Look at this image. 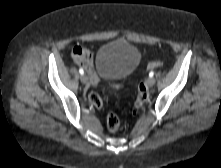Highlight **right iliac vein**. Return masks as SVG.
<instances>
[{
  "label": "right iliac vein",
  "instance_id": "63e3f726",
  "mask_svg": "<svg viewBox=\"0 0 221 168\" xmlns=\"http://www.w3.org/2000/svg\"><path fill=\"white\" fill-rule=\"evenodd\" d=\"M80 80L83 84H87L89 82V78L85 74L81 75Z\"/></svg>",
  "mask_w": 221,
  "mask_h": 168
}]
</instances>
